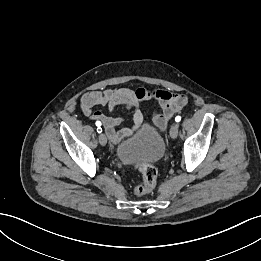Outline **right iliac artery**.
<instances>
[{
  "instance_id": "1",
  "label": "right iliac artery",
  "mask_w": 261,
  "mask_h": 261,
  "mask_svg": "<svg viewBox=\"0 0 261 261\" xmlns=\"http://www.w3.org/2000/svg\"><path fill=\"white\" fill-rule=\"evenodd\" d=\"M95 124L97 126V132L101 133L102 132V128L100 127L101 126V122L97 121Z\"/></svg>"
}]
</instances>
